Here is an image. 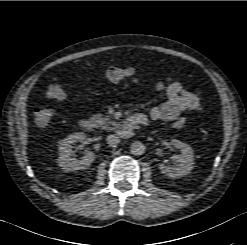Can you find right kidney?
<instances>
[{"instance_id":"ca27d5eb","label":"right kidney","mask_w":247,"mask_h":245,"mask_svg":"<svg viewBox=\"0 0 247 245\" xmlns=\"http://www.w3.org/2000/svg\"><path fill=\"white\" fill-rule=\"evenodd\" d=\"M86 138L85 133L78 132L73 133L63 139L59 145V166L65 171H75L88 168L94 161V153L87 151L85 156L81 160H77L70 157L72 151V145L78 141L82 142Z\"/></svg>"}]
</instances>
